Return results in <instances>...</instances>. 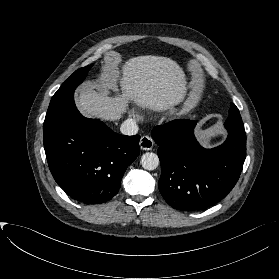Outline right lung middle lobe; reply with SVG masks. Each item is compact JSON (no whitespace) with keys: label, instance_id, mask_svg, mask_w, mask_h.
I'll return each instance as SVG.
<instances>
[{"label":"right lung middle lobe","instance_id":"obj_1","mask_svg":"<svg viewBox=\"0 0 279 279\" xmlns=\"http://www.w3.org/2000/svg\"><path fill=\"white\" fill-rule=\"evenodd\" d=\"M92 65L76 70L53 95L45 119H49L57 114L61 109L66 107L72 100H74V90L82 83L87 76L88 71Z\"/></svg>","mask_w":279,"mask_h":279}]
</instances>
